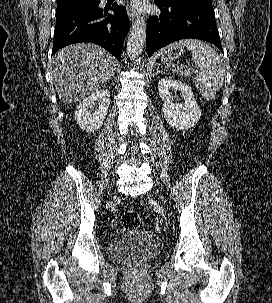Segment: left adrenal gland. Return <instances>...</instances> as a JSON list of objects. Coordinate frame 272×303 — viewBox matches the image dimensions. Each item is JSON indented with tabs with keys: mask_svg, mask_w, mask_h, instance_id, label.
I'll use <instances>...</instances> for the list:
<instances>
[{
	"mask_svg": "<svg viewBox=\"0 0 272 303\" xmlns=\"http://www.w3.org/2000/svg\"><path fill=\"white\" fill-rule=\"evenodd\" d=\"M161 71L159 70V67H157V71L155 73V75H157L158 73H160Z\"/></svg>",
	"mask_w": 272,
	"mask_h": 303,
	"instance_id": "1",
	"label": "left adrenal gland"
}]
</instances>
